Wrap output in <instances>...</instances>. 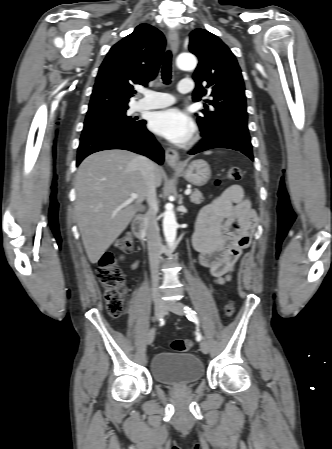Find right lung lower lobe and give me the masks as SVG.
Wrapping results in <instances>:
<instances>
[{"instance_id": "1", "label": "right lung lower lobe", "mask_w": 332, "mask_h": 449, "mask_svg": "<svg viewBox=\"0 0 332 449\" xmlns=\"http://www.w3.org/2000/svg\"><path fill=\"white\" fill-rule=\"evenodd\" d=\"M146 122L138 128L129 131L95 130L84 133L80 138L77 165L88 155L109 149L129 150L145 155L158 164H163L164 152L152 133L146 127Z\"/></svg>"}]
</instances>
